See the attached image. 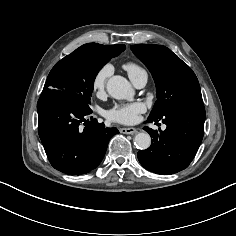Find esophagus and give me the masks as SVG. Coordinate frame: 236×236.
Listing matches in <instances>:
<instances>
[{
    "label": "esophagus",
    "instance_id": "1",
    "mask_svg": "<svg viewBox=\"0 0 236 236\" xmlns=\"http://www.w3.org/2000/svg\"><path fill=\"white\" fill-rule=\"evenodd\" d=\"M120 132L123 134H134L137 132V130L133 127H129V128H121Z\"/></svg>",
    "mask_w": 236,
    "mask_h": 236
}]
</instances>
